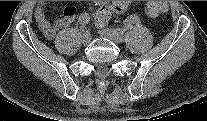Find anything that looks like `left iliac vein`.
Here are the masks:
<instances>
[{"label": "left iliac vein", "instance_id": "4c4485c4", "mask_svg": "<svg viewBox=\"0 0 207 121\" xmlns=\"http://www.w3.org/2000/svg\"><path fill=\"white\" fill-rule=\"evenodd\" d=\"M99 33L101 36L112 40L114 43L119 44L123 41V34L119 30L107 28L101 30Z\"/></svg>", "mask_w": 207, "mask_h": 121}]
</instances>
